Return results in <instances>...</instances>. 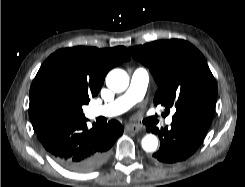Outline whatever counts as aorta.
Masks as SVG:
<instances>
[{"label": "aorta", "instance_id": "aorta-1", "mask_svg": "<svg viewBox=\"0 0 245 187\" xmlns=\"http://www.w3.org/2000/svg\"><path fill=\"white\" fill-rule=\"evenodd\" d=\"M106 85L114 92H122L129 85L128 74L122 69L110 71L106 77ZM142 148L147 152H154L158 146V139L153 134H147L142 139Z\"/></svg>", "mask_w": 245, "mask_h": 187}]
</instances>
